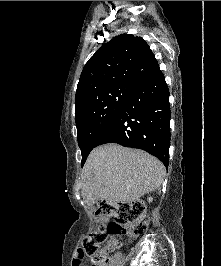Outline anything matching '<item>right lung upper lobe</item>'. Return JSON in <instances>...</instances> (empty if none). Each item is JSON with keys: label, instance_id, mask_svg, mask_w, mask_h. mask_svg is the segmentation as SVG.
I'll use <instances>...</instances> for the list:
<instances>
[{"label": "right lung upper lobe", "instance_id": "cb5924a9", "mask_svg": "<svg viewBox=\"0 0 221 266\" xmlns=\"http://www.w3.org/2000/svg\"><path fill=\"white\" fill-rule=\"evenodd\" d=\"M158 70V62L143 38L118 35L85 64L77 85L75 106L98 90L120 85L135 87Z\"/></svg>", "mask_w": 221, "mask_h": 266}]
</instances>
